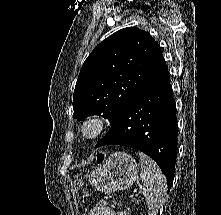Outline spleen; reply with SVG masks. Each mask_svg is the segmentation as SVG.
I'll return each mask as SVG.
<instances>
[{
    "mask_svg": "<svg viewBox=\"0 0 221 215\" xmlns=\"http://www.w3.org/2000/svg\"><path fill=\"white\" fill-rule=\"evenodd\" d=\"M141 160V179L143 182L142 194L150 215H156L164 202L167 191L166 178L158 165L147 155L139 153Z\"/></svg>",
    "mask_w": 221,
    "mask_h": 215,
    "instance_id": "1",
    "label": "spleen"
}]
</instances>
